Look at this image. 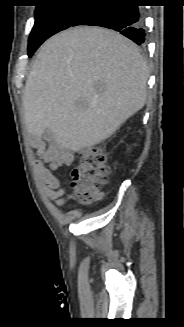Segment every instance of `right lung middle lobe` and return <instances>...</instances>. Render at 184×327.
<instances>
[{
	"label": "right lung middle lobe",
	"instance_id": "obj_1",
	"mask_svg": "<svg viewBox=\"0 0 184 327\" xmlns=\"http://www.w3.org/2000/svg\"><path fill=\"white\" fill-rule=\"evenodd\" d=\"M77 1L80 0H54L37 6L35 23L29 36V57L47 38L72 26L90 7L87 4L79 5Z\"/></svg>",
	"mask_w": 184,
	"mask_h": 327
}]
</instances>
